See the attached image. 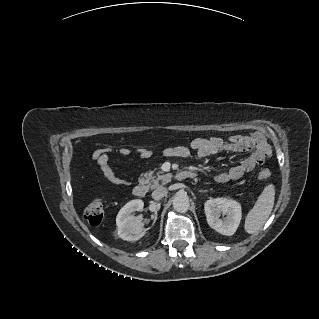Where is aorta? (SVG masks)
I'll use <instances>...</instances> for the list:
<instances>
[{
    "label": "aorta",
    "instance_id": "1",
    "mask_svg": "<svg viewBox=\"0 0 319 319\" xmlns=\"http://www.w3.org/2000/svg\"><path fill=\"white\" fill-rule=\"evenodd\" d=\"M190 202L186 192L178 191L173 198V208L179 213H185L189 210Z\"/></svg>",
    "mask_w": 319,
    "mask_h": 319
}]
</instances>
